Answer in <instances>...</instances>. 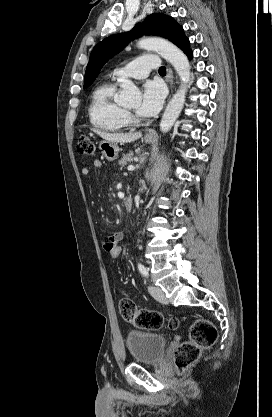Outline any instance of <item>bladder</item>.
Listing matches in <instances>:
<instances>
[{
  "label": "bladder",
  "instance_id": "obj_1",
  "mask_svg": "<svg viewBox=\"0 0 272 417\" xmlns=\"http://www.w3.org/2000/svg\"><path fill=\"white\" fill-rule=\"evenodd\" d=\"M126 346L137 363H158L164 356L167 338L161 334L130 331L126 337Z\"/></svg>",
  "mask_w": 272,
  "mask_h": 417
}]
</instances>
